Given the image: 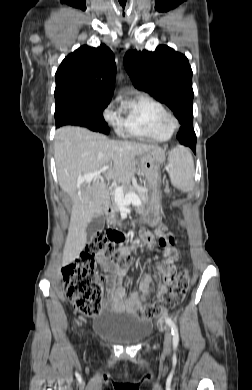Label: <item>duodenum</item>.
Segmentation results:
<instances>
[{"mask_svg": "<svg viewBox=\"0 0 252 390\" xmlns=\"http://www.w3.org/2000/svg\"><path fill=\"white\" fill-rule=\"evenodd\" d=\"M106 214L109 217L111 224H114L115 210L113 208H111V207H108L107 210H106ZM120 235L122 237L121 240H123L124 236H123V234L121 232H120Z\"/></svg>", "mask_w": 252, "mask_h": 390, "instance_id": "obj_1", "label": "duodenum"}]
</instances>
